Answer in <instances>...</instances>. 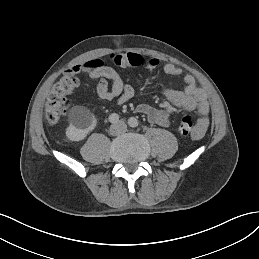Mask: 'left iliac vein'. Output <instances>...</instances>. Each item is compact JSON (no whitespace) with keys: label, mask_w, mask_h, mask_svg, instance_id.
Listing matches in <instances>:
<instances>
[{"label":"left iliac vein","mask_w":259,"mask_h":259,"mask_svg":"<svg viewBox=\"0 0 259 259\" xmlns=\"http://www.w3.org/2000/svg\"><path fill=\"white\" fill-rule=\"evenodd\" d=\"M119 126L121 127L122 131L125 132L127 130L126 125L124 122L120 121Z\"/></svg>","instance_id":"1"}]
</instances>
